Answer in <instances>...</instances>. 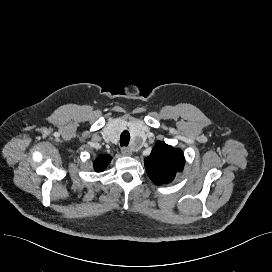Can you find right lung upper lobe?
<instances>
[{"mask_svg": "<svg viewBox=\"0 0 272 272\" xmlns=\"http://www.w3.org/2000/svg\"><path fill=\"white\" fill-rule=\"evenodd\" d=\"M110 155H101L94 161V169L97 172H102L111 161Z\"/></svg>", "mask_w": 272, "mask_h": 272, "instance_id": "1", "label": "right lung upper lobe"}]
</instances>
